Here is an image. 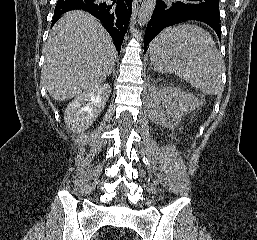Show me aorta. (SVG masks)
Masks as SVG:
<instances>
[{
  "mask_svg": "<svg viewBox=\"0 0 257 240\" xmlns=\"http://www.w3.org/2000/svg\"><path fill=\"white\" fill-rule=\"evenodd\" d=\"M157 0H143L139 10L138 24L142 27L146 25L152 17Z\"/></svg>",
  "mask_w": 257,
  "mask_h": 240,
  "instance_id": "762f6f07",
  "label": "aorta"
}]
</instances>
